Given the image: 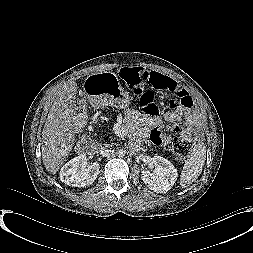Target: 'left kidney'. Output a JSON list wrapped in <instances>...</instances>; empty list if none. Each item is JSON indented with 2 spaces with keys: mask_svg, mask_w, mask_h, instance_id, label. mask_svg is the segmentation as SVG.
Returning <instances> with one entry per match:
<instances>
[{
  "mask_svg": "<svg viewBox=\"0 0 253 253\" xmlns=\"http://www.w3.org/2000/svg\"><path fill=\"white\" fill-rule=\"evenodd\" d=\"M149 168L142 170V180L151 190L157 193H166L177 180V169L167 159L161 156H153Z\"/></svg>",
  "mask_w": 253,
  "mask_h": 253,
  "instance_id": "left-kidney-1",
  "label": "left kidney"
}]
</instances>
